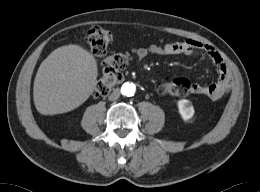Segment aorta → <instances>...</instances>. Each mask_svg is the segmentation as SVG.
<instances>
[{
  "label": "aorta",
  "instance_id": "1",
  "mask_svg": "<svg viewBox=\"0 0 260 192\" xmlns=\"http://www.w3.org/2000/svg\"><path fill=\"white\" fill-rule=\"evenodd\" d=\"M136 87L133 83L126 82L121 87V93L124 96L131 97L135 94Z\"/></svg>",
  "mask_w": 260,
  "mask_h": 192
}]
</instances>
